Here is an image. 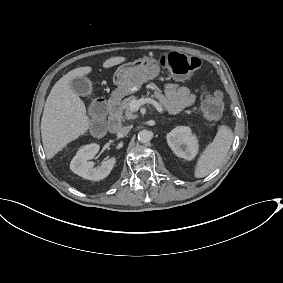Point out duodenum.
I'll use <instances>...</instances> for the list:
<instances>
[{
    "instance_id": "obj_1",
    "label": "duodenum",
    "mask_w": 283,
    "mask_h": 283,
    "mask_svg": "<svg viewBox=\"0 0 283 283\" xmlns=\"http://www.w3.org/2000/svg\"><path fill=\"white\" fill-rule=\"evenodd\" d=\"M104 109V107H101ZM109 109V119H108V129L110 132H118L121 129V106H120V98L118 96H114L108 102Z\"/></svg>"
}]
</instances>
